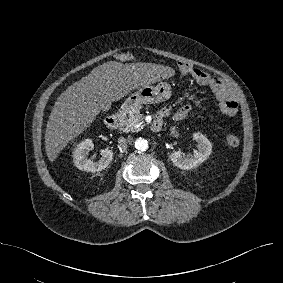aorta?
<instances>
[{
	"instance_id": "1",
	"label": "aorta",
	"mask_w": 283,
	"mask_h": 283,
	"mask_svg": "<svg viewBox=\"0 0 283 283\" xmlns=\"http://www.w3.org/2000/svg\"><path fill=\"white\" fill-rule=\"evenodd\" d=\"M148 141L142 137H139L135 140V148L140 151L144 152L148 149Z\"/></svg>"
}]
</instances>
